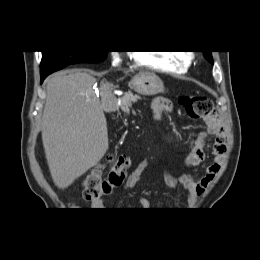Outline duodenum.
I'll use <instances>...</instances> for the list:
<instances>
[{"label": "duodenum", "instance_id": "duodenum-1", "mask_svg": "<svg viewBox=\"0 0 260 260\" xmlns=\"http://www.w3.org/2000/svg\"><path fill=\"white\" fill-rule=\"evenodd\" d=\"M107 106H108V110H109V111L115 110V105H113V104H108Z\"/></svg>", "mask_w": 260, "mask_h": 260}]
</instances>
